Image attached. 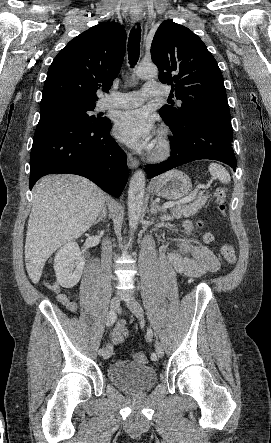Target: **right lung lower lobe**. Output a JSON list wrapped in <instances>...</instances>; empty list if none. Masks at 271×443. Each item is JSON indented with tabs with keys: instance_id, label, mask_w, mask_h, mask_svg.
<instances>
[{
	"instance_id": "right-lung-lower-lobe-1",
	"label": "right lung lower lobe",
	"mask_w": 271,
	"mask_h": 443,
	"mask_svg": "<svg viewBox=\"0 0 271 443\" xmlns=\"http://www.w3.org/2000/svg\"><path fill=\"white\" fill-rule=\"evenodd\" d=\"M107 118L96 126L56 118L38 123L30 155V189L47 174L84 176L119 197L128 180L126 154L110 136Z\"/></svg>"
}]
</instances>
